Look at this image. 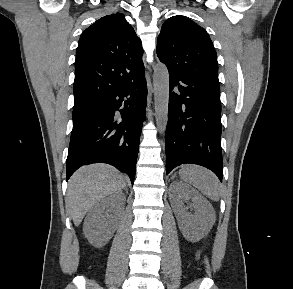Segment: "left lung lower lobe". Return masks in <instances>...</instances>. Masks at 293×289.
Returning <instances> with one entry per match:
<instances>
[{
  "instance_id": "1",
  "label": "left lung lower lobe",
  "mask_w": 293,
  "mask_h": 289,
  "mask_svg": "<svg viewBox=\"0 0 293 289\" xmlns=\"http://www.w3.org/2000/svg\"><path fill=\"white\" fill-rule=\"evenodd\" d=\"M169 79L167 174L181 164H198L222 181L220 86L171 72Z\"/></svg>"
}]
</instances>
